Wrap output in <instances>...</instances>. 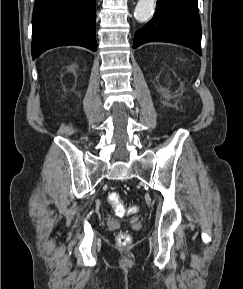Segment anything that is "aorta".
Returning a JSON list of instances; mask_svg holds the SVG:
<instances>
[{
    "label": "aorta",
    "mask_w": 243,
    "mask_h": 289,
    "mask_svg": "<svg viewBox=\"0 0 243 289\" xmlns=\"http://www.w3.org/2000/svg\"><path fill=\"white\" fill-rule=\"evenodd\" d=\"M155 0H139L134 11V17L138 22L147 21L154 10Z\"/></svg>",
    "instance_id": "aorta-1"
}]
</instances>
